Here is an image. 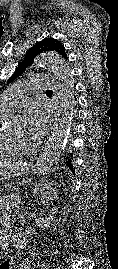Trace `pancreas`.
<instances>
[{
    "instance_id": "obj_1",
    "label": "pancreas",
    "mask_w": 118,
    "mask_h": 269,
    "mask_svg": "<svg viewBox=\"0 0 118 269\" xmlns=\"http://www.w3.org/2000/svg\"><path fill=\"white\" fill-rule=\"evenodd\" d=\"M21 183H25V180H21ZM20 189L19 182H7L6 187L3 188L4 192H17Z\"/></svg>"
}]
</instances>
